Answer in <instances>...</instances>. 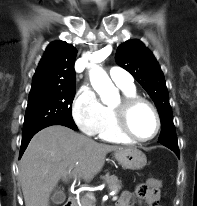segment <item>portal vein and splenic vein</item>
<instances>
[{"instance_id": "portal-vein-and-splenic-vein-1", "label": "portal vein and splenic vein", "mask_w": 197, "mask_h": 206, "mask_svg": "<svg viewBox=\"0 0 197 206\" xmlns=\"http://www.w3.org/2000/svg\"><path fill=\"white\" fill-rule=\"evenodd\" d=\"M115 200H117V196H116V195H113L112 201H115Z\"/></svg>"}]
</instances>
